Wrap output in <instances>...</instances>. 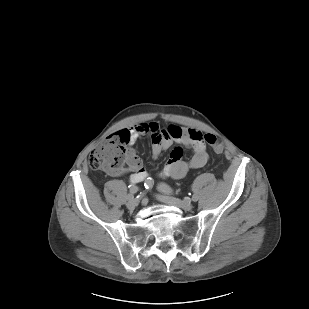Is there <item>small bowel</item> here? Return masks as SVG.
<instances>
[{"instance_id":"c3829d8e","label":"small bowel","mask_w":309,"mask_h":309,"mask_svg":"<svg viewBox=\"0 0 309 309\" xmlns=\"http://www.w3.org/2000/svg\"><path fill=\"white\" fill-rule=\"evenodd\" d=\"M127 139L129 149L126 154V167L112 175L119 177L131 172L130 181L141 182L147 177V171L142 160L135 154L132 146L143 136H150L153 141L152 154L158 157L160 153L168 149L174 143L178 144L173 149L170 159L159 172L162 178L181 179L191 169L203 167L208 160L206 144L203 134L194 128H183L176 124H170L162 128L156 121L143 122L130 129H122L117 132ZM183 147L190 148L193 152L189 159L183 158Z\"/></svg>"}]
</instances>
